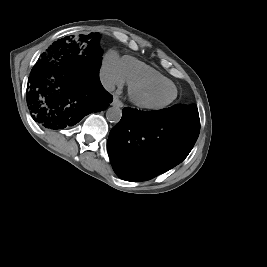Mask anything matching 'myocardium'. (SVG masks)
<instances>
[{
  "label": "myocardium",
  "instance_id": "myocardium-1",
  "mask_svg": "<svg viewBox=\"0 0 267 267\" xmlns=\"http://www.w3.org/2000/svg\"><path fill=\"white\" fill-rule=\"evenodd\" d=\"M164 84L171 85L175 90V94H174L173 98L166 103L150 104V103L143 101L138 95V92L143 88H146L149 86H154V85H164ZM128 91H129L130 100L136 106L143 108V109H148V110L164 109V108L168 107L169 105H171L177 99V96H178V89H177L176 85L171 81L141 80V81H137V82L129 84V90Z\"/></svg>",
  "mask_w": 267,
  "mask_h": 267
}]
</instances>
